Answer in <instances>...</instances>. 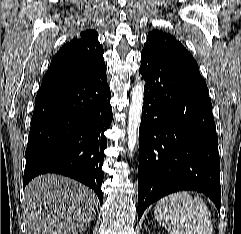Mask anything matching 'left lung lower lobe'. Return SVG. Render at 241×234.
<instances>
[{"mask_svg":"<svg viewBox=\"0 0 241 234\" xmlns=\"http://www.w3.org/2000/svg\"><path fill=\"white\" fill-rule=\"evenodd\" d=\"M146 81L139 130L138 218L161 197L204 193L220 212L218 137L201 75L174 68L142 51Z\"/></svg>","mask_w":241,"mask_h":234,"instance_id":"obj_1","label":"left lung lower lobe"}]
</instances>
